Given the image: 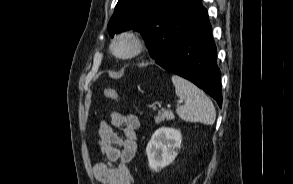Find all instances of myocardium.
<instances>
[{"label": "myocardium", "mask_w": 293, "mask_h": 184, "mask_svg": "<svg viewBox=\"0 0 293 184\" xmlns=\"http://www.w3.org/2000/svg\"><path fill=\"white\" fill-rule=\"evenodd\" d=\"M127 40L131 45L127 53H119L116 50L118 43ZM111 52L120 59L128 60L139 56L145 49V40L141 34L133 30H125L115 36L110 45Z\"/></svg>", "instance_id": "myocardium-1"}]
</instances>
